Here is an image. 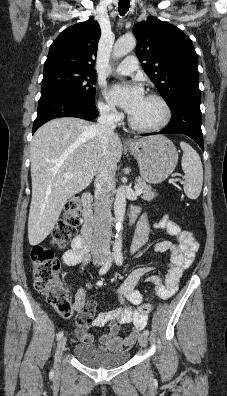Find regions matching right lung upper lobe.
I'll return each mask as SVG.
<instances>
[{
  "label": "right lung upper lobe",
  "instance_id": "right-lung-upper-lobe-1",
  "mask_svg": "<svg viewBox=\"0 0 227 396\" xmlns=\"http://www.w3.org/2000/svg\"><path fill=\"white\" fill-rule=\"evenodd\" d=\"M100 26L93 18L65 29L51 44L44 71L70 69L95 73Z\"/></svg>",
  "mask_w": 227,
  "mask_h": 396
}]
</instances>
